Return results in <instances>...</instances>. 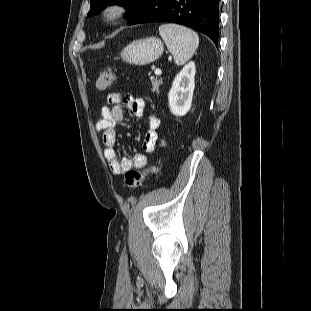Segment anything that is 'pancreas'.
Masks as SVG:
<instances>
[{"mask_svg": "<svg viewBox=\"0 0 311 311\" xmlns=\"http://www.w3.org/2000/svg\"><path fill=\"white\" fill-rule=\"evenodd\" d=\"M162 80L161 79H154L152 80V91L153 92H156V93H159V87L160 85H162Z\"/></svg>", "mask_w": 311, "mask_h": 311, "instance_id": "pancreas-1", "label": "pancreas"}]
</instances>
